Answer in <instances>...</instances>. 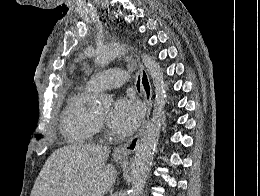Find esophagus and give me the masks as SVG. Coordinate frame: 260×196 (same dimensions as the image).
Returning <instances> with one entry per match:
<instances>
[{
	"instance_id": "1",
	"label": "esophagus",
	"mask_w": 260,
	"mask_h": 196,
	"mask_svg": "<svg viewBox=\"0 0 260 196\" xmlns=\"http://www.w3.org/2000/svg\"><path fill=\"white\" fill-rule=\"evenodd\" d=\"M139 74H140V85L141 89L143 91L144 95V101L146 103V112L145 116L143 118L142 126L139 130V132L131 138L127 143H124L123 145L118 146V148L115 149L113 157L115 159H125L128 158L134 151L137 149L139 145V141L141 138L142 131L144 129L145 124L148 121L151 108H152V87L150 84L149 77L147 75V72L144 68V66L139 62Z\"/></svg>"
}]
</instances>
